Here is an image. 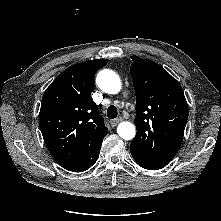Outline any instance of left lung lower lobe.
<instances>
[{"mask_svg": "<svg viewBox=\"0 0 221 221\" xmlns=\"http://www.w3.org/2000/svg\"><path fill=\"white\" fill-rule=\"evenodd\" d=\"M134 158V157H133ZM134 160L136 161V163L145 168V169H149V170H157V169H161L163 168L164 166L163 165H157V164H151V163H145V162H142L140 160H137L134 158Z\"/></svg>", "mask_w": 221, "mask_h": 221, "instance_id": "1", "label": "left lung lower lobe"}]
</instances>
